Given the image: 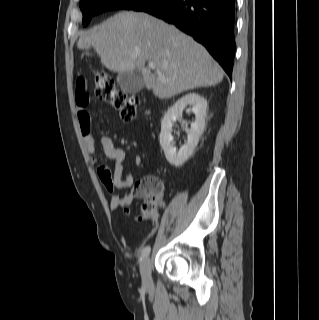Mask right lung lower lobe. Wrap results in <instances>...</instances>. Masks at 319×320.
<instances>
[{
    "label": "right lung lower lobe",
    "instance_id": "1",
    "mask_svg": "<svg viewBox=\"0 0 319 320\" xmlns=\"http://www.w3.org/2000/svg\"><path fill=\"white\" fill-rule=\"evenodd\" d=\"M136 11L152 14L191 35L232 77L235 0H152Z\"/></svg>",
    "mask_w": 319,
    "mask_h": 320
}]
</instances>
